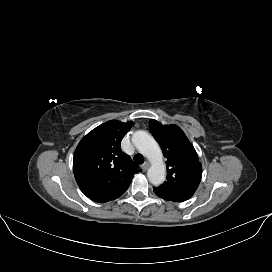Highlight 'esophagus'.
<instances>
[{
	"label": "esophagus",
	"mask_w": 272,
	"mask_h": 272,
	"mask_svg": "<svg viewBox=\"0 0 272 272\" xmlns=\"http://www.w3.org/2000/svg\"><path fill=\"white\" fill-rule=\"evenodd\" d=\"M149 166H150L149 162H145V163L142 165L143 171H146V170L149 168Z\"/></svg>",
	"instance_id": "1"
}]
</instances>
